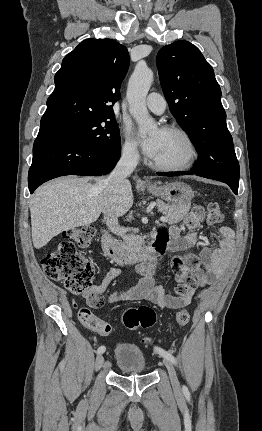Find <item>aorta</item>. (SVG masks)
<instances>
[{
  "mask_svg": "<svg viewBox=\"0 0 262 431\" xmlns=\"http://www.w3.org/2000/svg\"><path fill=\"white\" fill-rule=\"evenodd\" d=\"M153 82V72L144 65H137L127 89L129 111L138 124L139 133L145 135L156 128L146 107V96Z\"/></svg>",
  "mask_w": 262,
  "mask_h": 431,
  "instance_id": "aorta-1",
  "label": "aorta"
}]
</instances>
